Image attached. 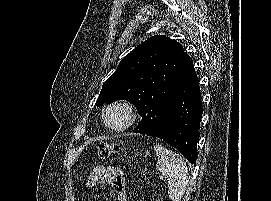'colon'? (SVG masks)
Masks as SVG:
<instances>
[{
  "label": "colon",
  "mask_w": 271,
  "mask_h": 201,
  "mask_svg": "<svg viewBox=\"0 0 271 201\" xmlns=\"http://www.w3.org/2000/svg\"><path fill=\"white\" fill-rule=\"evenodd\" d=\"M119 150L120 147L117 143H102L97 147V156L106 159L118 153Z\"/></svg>",
  "instance_id": "1"
}]
</instances>
